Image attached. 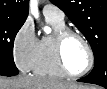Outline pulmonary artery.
I'll list each match as a JSON object with an SVG mask.
<instances>
[{"mask_svg": "<svg viewBox=\"0 0 107 89\" xmlns=\"http://www.w3.org/2000/svg\"><path fill=\"white\" fill-rule=\"evenodd\" d=\"M43 14L45 17L54 18L59 21H64V13L53 4H46L43 7Z\"/></svg>", "mask_w": 107, "mask_h": 89, "instance_id": "1", "label": "pulmonary artery"}]
</instances>
